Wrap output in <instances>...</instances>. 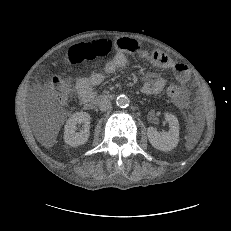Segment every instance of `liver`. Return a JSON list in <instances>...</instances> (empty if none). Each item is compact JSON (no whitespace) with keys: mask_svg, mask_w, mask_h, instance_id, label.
I'll list each match as a JSON object with an SVG mask.
<instances>
[{"mask_svg":"<svg viewBox=\"0 0 231 231\" xmlns=\"http://www.w3.org/2000/svg\"><path fill=\"white\" fill-rule=\"evenodd\" d=\"M57 130H58V126H57L56 131L54 132L53 136H50V139H48V140L41 139V142L43 143V145L48 147V146H51L53 144V141L51 139L55 138V136L57 134Z\"/></svg>","mask_w":231,"mask_h":231,"instance_id":"6515ba94","label":"liver"}]
</instances>
